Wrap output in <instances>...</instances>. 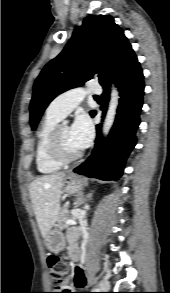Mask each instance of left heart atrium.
<instances>
[{
  "instance_id": "left-heart-atrium-1",
  "label": "left heart atrium",
  "mask_w": 170,
  "mask_h": 293,
  "mask_svg": "<svg viewBox=\"0 0 170 293\" xmlns=\"http://www.w3.org/2000/svg\"><path fill=\"white\" fill-rule=\"evenodd\" d=\"M69 130L71 139L78 149H83L90 143L93 127L87 116L78 117Z\"/></svg>"
}]
</instances>
